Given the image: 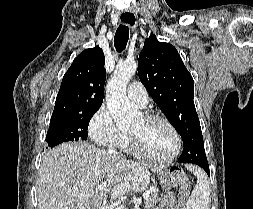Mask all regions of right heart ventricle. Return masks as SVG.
I'll use <instances>...</instances> for the list:
<instances>
[{
    "mask_svg": "<svg viewBox=\"0 0 253 209\" xmlns=\"http://www.w3.org/2000/svg\"><path fill=\"white\" fill-rule=\"evenodd\" d=\"M124 147H126V148H127L128 150H130V151L132 150V147L129 146L128 143H127Z\"/></svg>",
    "mask_w": 253,
    "mask_h": 209,
    "instance_id": "e07e8e85",
    "label": "right heart ventricle"
}]
</instances>
